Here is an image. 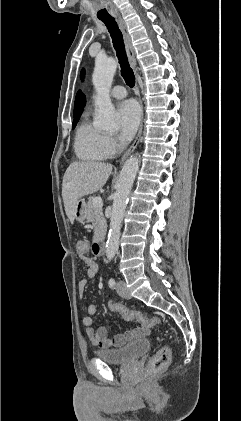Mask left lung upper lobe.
<instances>
[{
    "instance_id": "1",
    "label": "left lung upper lobe",
    "mask_w": 241,
    "mask_h": 421,
    "mask_svg": "<svg viewBox=\"0 0 241 421\" xmlns=\"http://www.w3.org/2000/svg\"><path fill=\"white\" fill-rule=\"evenodd\" d=\"M83 76H84V70H82L81 72V78H83Z\"/></svg>"
}]
</instances>
